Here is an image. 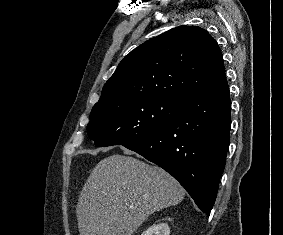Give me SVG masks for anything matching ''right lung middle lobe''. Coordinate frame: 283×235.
Instances as JSON below:
<instances>
[{
	"label": "right lung middle lobe",
	"mask_w": 283,
	"mask_h": 235,
	"mask_svg": "<svg viewBox=\"0 0 283 235\" xmlns=\"http://www.w3.org/2000/svg\"><path fill=\"white\" fill-rule=\"evenodd\" d=\"M179 103L170 97H130L94 106L88 136L97 147L135 142L164 127Z\"/></svg>",
	"instance_id": "1"
}]
</instances>
